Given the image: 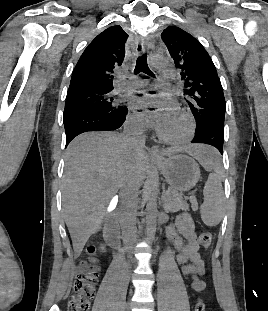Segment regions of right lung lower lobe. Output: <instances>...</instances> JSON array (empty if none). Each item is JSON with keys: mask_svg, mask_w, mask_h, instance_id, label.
Instances as JSON below:
<instances>
[{"mask_svg": "<svg viewBox=\"0 0 268 311\" xmlns=\"http://www.w3.org/2000/svg\"><path fill=\"white\" fill-rule=\"evenodd\" d=\"M127 115V107L121 106L114 114H104L77 109L63 118L66 132V146L77 135L88 131H113L121 127Z\"/></svg>", "mask_w": 268, "mask_h": 311, "instance_id": "1", "label": "right lung lower lobe"}]
</instances>
